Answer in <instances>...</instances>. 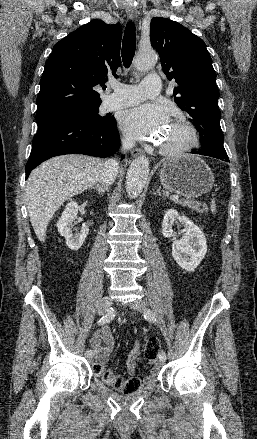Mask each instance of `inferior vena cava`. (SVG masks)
<instances>
[{
	"mask_svg": "<svg viewBox=\"0 0 257 439\" xmlns=\"http://www.w3.org/2000/svg\"><path fill=\"white\" fill-rule=\"evenodd\" d=\"M135 142L131 139L125 138L122 140L123 150H129L134 147ZM118 172V163L115 160H108L103 170L101 171L98 181L102 183V185H111L115 181L116 174Z\"/></svg>",
	"mask_w": 257,
	"mask_h": 439,
	"instance_id": "602c4592",
	"label": "inferior vena cava"
}]
</instances>
